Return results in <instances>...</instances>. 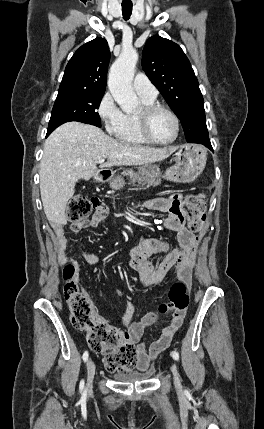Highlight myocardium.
<instances>
[{
    "label": "myocardium",
    "instance_id": "obj_1",
    "mask_svg": "<svg viewBox=\"0 0 264 429\" xmlns=\"http://www.w3.org/2000/svg\"><path fill=\"white\" fill-rule=\"evenodd\" d=\"M157 112H165L174 120L175 134H174L173 138L168 140V141H158L151 134L150 121H151L152 116ZM136 119L138 122L140 133H141L142 137L148 143L155 144V145H169V144L174 143L180 134L179 117L177 116V114L174 111H172L170 108H168L164 105H161L158 103L146 104L142 107L140 112L136 115Z\"/></svg>",
    "mask_w": 264,
    "mask_h": 429
}]
</instances>
